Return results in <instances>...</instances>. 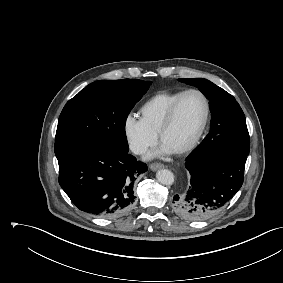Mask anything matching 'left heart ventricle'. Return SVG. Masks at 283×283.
<instances>
[{"label": "left heart ventricle", "instance_id": "left-heart-ventricle-1", "mask_svg": "<svg viewBox=\"0 0 283 283\" xmlns=\"http://www.w3.org/2000/svg\"><path fill=\"white\" fill-rule=\"evenodd\" d=\"M205 114L203 99L197 94L181 102L174 123L163 137V143L174 152L187 146L196 136Z\"/></svg>", "mask_w": 283, "mask_h": 283}]
</instances>
